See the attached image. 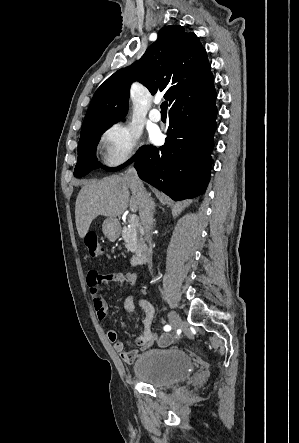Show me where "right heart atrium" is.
<instances>
[{"label":"right heart atrium","instance_id":"1","mask_svg":"<svg viewBox=\"0 0 299 443\" xmlns=\"http://www.w3.org/2000/svg\"><path fill=\"white\" fill-rule=\"evenodd\" d=\"M140 131L131 123L119 122L106 128L100 137L104 162L118 166L132 159L138 149Z\"/></svg>","mask_w":299,"mask_h":443}]
</instances>
